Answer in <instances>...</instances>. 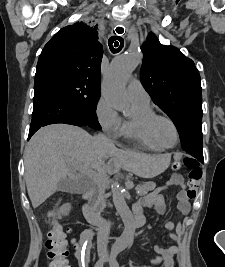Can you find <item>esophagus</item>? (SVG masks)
<instances>
[{
  "label": "esophagus",
  "instance_id": "esophagus-1",
  "mask_svg": "<svg viewBox=\"0 0 225 267\" xmlns=\"http://www.w3.org/2000/svg\"><path fill=\"white\" fill-rule=\"evenodd\" d=\"M119 26H122V27L127 26V23H126V22L121 23ZM119 26H118V27H119ZM115 32H116V29H115ZM116 33H117V32H116ZM117 34H119V33H117Z\"/></svg>",
  "mask_w": 225,
  "mask_h": 267
}]
</instances>
